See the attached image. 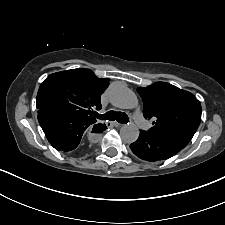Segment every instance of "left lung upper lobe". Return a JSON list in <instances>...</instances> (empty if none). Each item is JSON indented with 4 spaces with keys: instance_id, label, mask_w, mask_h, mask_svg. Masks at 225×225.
<instances>
[{
    "instance_id": "obj_1",
    "label": "left lung upper lobe",
    "mask_w": 225,
    "mask_h": 225,
    "mask_svg": "<svg viewBox=\"0 0 225 225\" xmlns=\"http://www.w3.org/2000/svg\"><path fill=\"white\" fill-rule=\"evenodd\" d=\"M143 114L153 119L147 132L154 136H183L192 139L201 121V104L195 96L166 82L139 87Z\"/></svg>"
}]
</instances>
